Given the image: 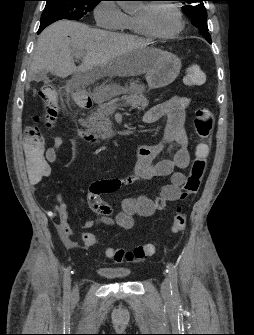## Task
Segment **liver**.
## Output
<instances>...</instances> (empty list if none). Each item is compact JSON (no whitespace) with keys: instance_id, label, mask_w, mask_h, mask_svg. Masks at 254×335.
<instances>
[{"instance_id":"6515ba94","label":"liver","mask_w":254,"mask_h":335,"mask_svg":"<svg viewBox=\"0 0 254 335\" xmlns=\"http://www.w3.org/2000/svg\"><path fill=\"white\" fill-rule=\"evenodd\" d=\"M148 45V41L132 35L60 20L39 36L28 80L40 72L49 71L61 78L74 74L83 85L105 76H139L154 63V58L147 52ZM77 53L84 54L78 67L74 63Z\"/></svg>"}]
</instances>
